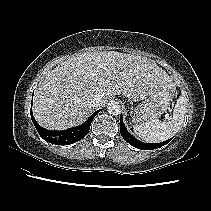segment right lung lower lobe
Masks as SVG:
<instances>
[{
  "instance_id": "right-lung-lower-lobe-1",
  "label": "right lung lower lobe",
  "mask_w": 211,
  "mask_h": 211,
  "mask_svg": "<svg viewBox=\"0 0 211 211\" xmlns=\"http://www.w3.org/2000/svg\"><path fill=\"white\" fill-rule=\"evenodd\" d=\"M100 110L95 111L88 120L77 127L70 128L64 131H49L42 128L35 120L32 109L30 110L31 119L36 127L39 135L46 141L57 145H70L83 139L90 130V125L93 118L99 113Z\"/></svg>"
}]
</instances>
